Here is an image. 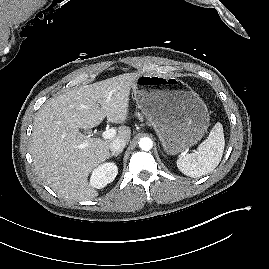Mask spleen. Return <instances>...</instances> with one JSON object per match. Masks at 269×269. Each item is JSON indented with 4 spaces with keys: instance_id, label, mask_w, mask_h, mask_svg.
<instances>
[{
    "instance_id": "spleen-1",
    "label": "spleen",
    "mask_w": 269,
    "mask_h": 269,
    "mask_svg": "<svg viewBox=\"0 0 269 269\" xmlns=\"http://www.w3.org/2000/svg\"><path fill=\"white\" fill-rule=\"evenodd\" d=\"M225 147L223 127L216 123L209 136L198 147L197 151L179 156L178 169L185 175L198 178L212 172L220 163Z\"/></svg>"
}]
</instances>
